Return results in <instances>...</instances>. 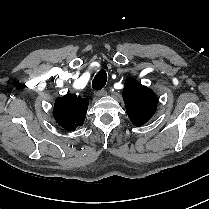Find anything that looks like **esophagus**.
Returning <instances> with one entry per match:
<instances>
[{
	"label": "esophagus",
	"instance_id": "obj_1",
	"mask_svg": "<svg viewBox=\"0 0 209 209\" xmlns=\"http://www.w3.org/2000/svg\"><path fill=\"white\" fill-rule=\"evenodd\" d=\"M95 95L98 97H102V96L107 95V91L106 90H99L95 93Z\"/></svg>",
	"mask_w": 209,
	"mask_h": 209
}]
</instances>
